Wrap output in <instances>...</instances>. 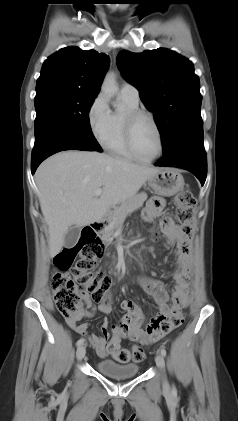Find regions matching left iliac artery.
<instances>
[{"instance_id":"1","label":"left iliac artery","mask_w":238,"mask_h":421,"mask_svg":"<svg viewBox=\"0 0 238 421\" xmlns=\"http://www.w3.org/2000/svg\"><path fill=\"white\" fill-rule=\"evenodd\" d=\"M161 354L164 357L166 356V350L164 348H161ZM173 389H174V387H173Z\"/></svg>"}]
</instances>
